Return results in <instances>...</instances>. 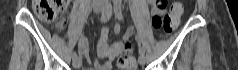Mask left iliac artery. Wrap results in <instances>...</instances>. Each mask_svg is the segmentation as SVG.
I'll use <instances>...</instances> for the list:
<instances>
[{
  "instance_id": "44dca946",
  "label": "left iliac artery",
  "mask_w": 238,
  "mask_h": 70,
  "mask_svg": "<svg viewBox=\"0 0 238 70\" xmlns=\"http://www.w3.org/2000/svg\"><path fill=\"white\" fill-rule=\"evenodd\" d=\"M114 13H115V16L119 19V20H122L123 19V15H122V9H121V0H115L114 1ZM146 47H142L140 48L139 50V53L140 54H144L145 51H146Z\"/></svg>"
}]
</instances>
